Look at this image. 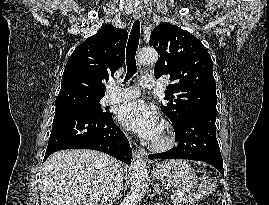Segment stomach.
Segmentation results:
<instances>
[{
	"label": "stomach",
	"instance_id": "1",
	"mask_svg": "<svg viewBox=\"0 0 269 205\" xmlns=\"http://www.w3.org/2000/svg\"><path fill=\"white\" fill-rule=\"evenodd\" d=\"M153 176L165 184L179 189L183 198L191 202L201 196L197 190V176L187 161L169 160L157 164L152 169Z\"/></svg>",
	"mask_w": 269,
	"mask_h": 205
}]
</instances>
